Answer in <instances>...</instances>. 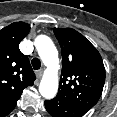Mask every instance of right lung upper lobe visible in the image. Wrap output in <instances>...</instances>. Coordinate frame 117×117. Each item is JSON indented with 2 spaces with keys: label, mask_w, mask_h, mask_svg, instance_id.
Wrapping results in <instances>:
<instances>
[{
  "label": "right lung upper lobe",
  "mask_w": 117,
  "mask_h": 117,
  "mask_svg": "<svg viewBox=\"0 0 117 117\" xmlns=\"http://www.w3.org/2000/svg\"><path fill=\"white\" fill-rule=\"evenodd\" d=\"M29 31L30 25L24 22L0 30V117L12 112L23 89L36 79L28 57L19 50Z\"/></svg>",
  "instance_id": "obj_1"
}]
</instances>
